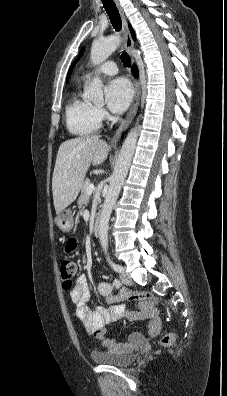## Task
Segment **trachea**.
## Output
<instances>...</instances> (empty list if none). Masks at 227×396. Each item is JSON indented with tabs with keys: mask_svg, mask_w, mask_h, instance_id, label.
Wrapping results in <instances>:
<instances>
[{
	"mask_svg": "<svg viewBox=\"0 0 227 396\" xmlns=\"http://www.w3.org/2000/svg\"><path fill=\"white\" fill-rule=\"evenodd\" d=\"M102 3L114 29L119 31L121 29V17L115 3L112 0H102ZM121 60L126 67L131 66V59L125 51L121 54Z\"/></svg>",
	"mask_w": 227,
	"mask_h": 396,
	"instance_id": "3493384b",
	"label": "trachea"
}]
</instances>
